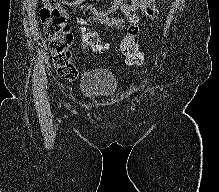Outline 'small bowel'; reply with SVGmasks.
<instances>
[{"label":"small bowel","instance_id":"small-bowel-1","mask_svg":"<svg viewBox=\"0 0 219 192\" xmlns=\"http://www.w3.org/2000/svg\"><path fill=\"white\" fill-rule=\"evenodd\" d=\"M48 3L49 0H43ZM82 0H76L81 2ZM158 0H112L109 6L108 13L120 11V16H91V17H79L76 16L75 20L79 24L81 33L80 50L92 49L93 41L101 42L100 36L97 31L92 30L89 25L97 23L104 29H119L126 30L127 34H137V39L141 34L142 26L140 24V13H143L149 18H155L158 15L156 3ZM58 7H62V3L57 2ZM87 8L83 5H79L75 12H83ZM94 51V50H93Z\"/></svg>","mask_w":219,"mask_h":192}]
</instances>
